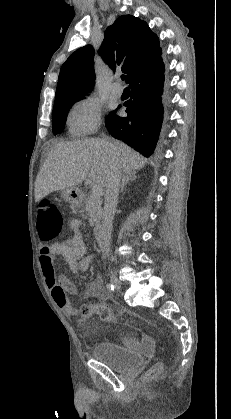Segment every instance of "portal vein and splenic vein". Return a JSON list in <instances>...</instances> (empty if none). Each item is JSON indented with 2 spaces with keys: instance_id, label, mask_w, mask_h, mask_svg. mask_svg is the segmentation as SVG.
I'll list each match as a JSON object with an SVG mask.
<instances>
[{
  "instance_id": "1",
  "label": "portal vein and splenic vein",
  "mask_w": 231,
  "mask_h": 419,
  "mask_svg": "<svg viewBox=\"0 0 231 419\" xmlns=\"http://www.w3.org/2000/svg\"><path fill=\"white\" fill-rule=\"evenodd\" d=\"M102 195V187L100 185L92 186V196L99 198Z\"/></svg>"
}]
</instances>
